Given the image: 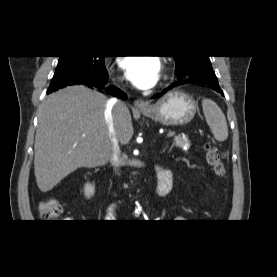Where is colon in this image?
I'll list each match as a JSON object with an SVG mask.
<instances>
[{"instance_id": "colon-1", "label": "colon", "mask_w": 277, "mask_h": 277, "mask_svg": "<svg viewBox=\"0 0 277 277\" xmlns=\"http://www.w3.org/2000/svg\"><path fill=\"white\" fill-rule=\"evenodd\" d=\"M205 155L208 164L214 169L219 177L225 174V168L220 152L211 146L205 145ZM62 213V206L56 199H47L40 204V216L45 220H54Z\"/></svg>"}]
</instances>
